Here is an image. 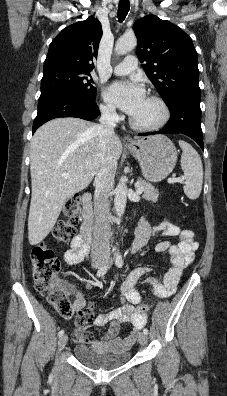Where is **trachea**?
Wrapping results in <instances>:
<instances>
[{
	"label": "trachea",
	"instance_id": "trachea-1",
	"mask_svg": "<svg viewBox=\"0 0 227 396\" xmlns=\"http://www.w3.org/2000/svg\"><path fill=\"white\" fill-rule=\"evenodd\" d=\"M130 9V2L129 0H120L118 5V19L122 22L128 14Z\"/></svg>",
	"mask_w": 227,
	"mask_h": 396
}]
</instances>
